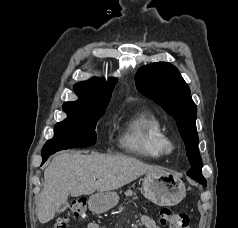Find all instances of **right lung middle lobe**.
Segmentation results:
<instances>
[{
	"label": "right lung middle lobe",
	"mask_w": 238,
	"mask_h": 228,
	"mask_svg": "<svg viewBox=\"0 0 238 228\" xmlns=\"http://www.w3.org/2000/svg\"><path fill=\"white\" fill-rule=\"evenodd\" d=\"M107 105L108 103L98 105L87 113L66 112L68 117L56 124L54 137L46 142L42 148V153L88 147L95 144V127Z\"/></svg>",
	"instance_id": "1"
}]
</instances>
